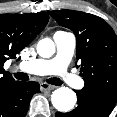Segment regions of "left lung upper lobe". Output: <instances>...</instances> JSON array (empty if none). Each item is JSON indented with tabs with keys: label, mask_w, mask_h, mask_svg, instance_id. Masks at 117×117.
I'll return each instance as SVG.
<instances>
[{
	"label": "left lung upper lobe",
	"mask_w": 117,
	"mask_h": 117,
	"mask_svg": "<svg viewBox=\"0 0 117 117\" xmlns=\"http://www.w3.org/2000/svg\"><path fill=\"white\" fill-rule=\"evenodd\" d=\"M77 39L76 58L85 81L82 91L117 99V36L102 18L73 10L50 11Z\"/></svg>",
	"instance_id": "left-lung-upper-lobe-1"
}]
</instances>
